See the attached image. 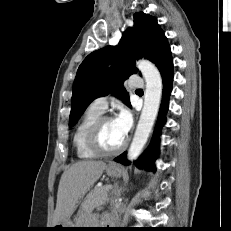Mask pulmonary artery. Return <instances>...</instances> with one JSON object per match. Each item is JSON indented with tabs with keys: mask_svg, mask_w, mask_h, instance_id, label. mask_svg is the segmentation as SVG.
I'll use <instances>...</instances> for the list:
<instances>
[{
	"mask_svg": "<svg viewBox=\"0 0 231 231\" xmlns=\"http://www.w3.org/2000/svg\"><path fill=\"white\" fill-rule=\"evenodd\" d=\"M143 84H144L143 79L135 75L132 76L128 82V86L133 89L141 88L143 87ZM90 106L94 108L95 110L103 113L107 109V106H108V97L102 96V97L96 98L95 100H93Z\"/></svg>",
	"mask_w": 231,
	"mask_h": 231,
	"instance_id": "1",
	"label": "pulmonary artery"
}]
</instances>
